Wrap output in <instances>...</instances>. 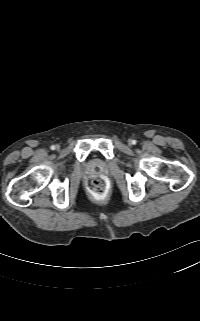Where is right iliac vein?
I'll return each instance as SVG.
<instances>
[{
    "label": "right iliac vein",
    "mask_w": 200,
    "mask_h": 321,
    "mask_svg": "<svg viewBox=\"0 0 200 321\" xmlns=\"http://www.w3.org/2000/svg\"><path fill=\"white\" fill-rule=\"evenodd\" d=\"M59 148H60V146H59V145H57V146H56V149H59Z\"/></svg>",
    "instance_id": "1"
}]
</instances>
